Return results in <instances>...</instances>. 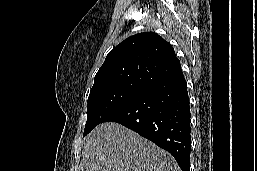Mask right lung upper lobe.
<instances>
[{
    "label": "right lung upper lobe",
    "instance_id": "obj_1",
    "mask_svg": "<svg viewBox=\"0 0 257 171\" xmlns=\"http://www.w3.org/2000/svg\"><path fill=\"white\" fill-rule=\"evenodd\" d=\"M181 70L173 47L154 32L133 35L107 55L95 75L93 88L110 84L150 87Z\"/></svg>",
    "mask_w": 257,
    "mask_h": 171
}]
</instances>
